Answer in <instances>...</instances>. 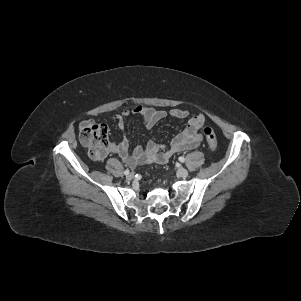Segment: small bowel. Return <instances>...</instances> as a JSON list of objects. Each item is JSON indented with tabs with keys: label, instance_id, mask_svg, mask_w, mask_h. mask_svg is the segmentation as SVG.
<instances>
[{
	"label": "small bowel",
	"instance_id": "obj_1",
	"mask_svg": "<svg viewBox=\"0 0 301 301\" xmlns=\"http://www.w3.org/2000/svg\"><path fill=\"white\" fill-rule=\"evenodd\" d=\"M130 114L141 116L148 128H152L168 115L180 120L189 117L187 110L172 109L167 113L161 109L138 105L113 116V121L118 128L124 129V118ZM86 122H82L81 126ZM204 123L205 116L202 113H197L189 117L185 129L176 135L168 145H158L153 141H149L144 147L138 146L131 151L129 141L124 136L118 143L109 144L107 153L119 156L125 165L132 168L141 164L166 163L174 154L195 149L200 145L203 137L199 131Z\"/></svg>",
	"mask_w": 301,
	"mask_h": 301
}]
</instances>
